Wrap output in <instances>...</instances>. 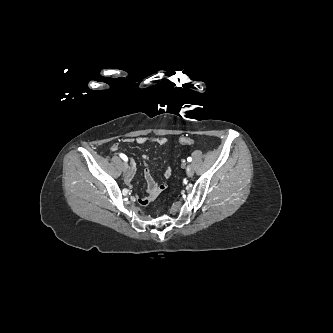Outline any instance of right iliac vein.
Here are the masks:
<instances>
[{"label": "right iliac vein", "mask_w": 333, "mask_h": 333, "mask_svg": "<svg viewBox=\"0 0 333 333\" xmlns=\"http://www.w3.org/2000/svg\"><path fill=\"white\" fill-rule=\"evenodd\" d=\"M122 168H123L124 172H127V170H128V164L126 162H123Z\"/></svg>", "instance_id": "obj_1"}]
</instances>
